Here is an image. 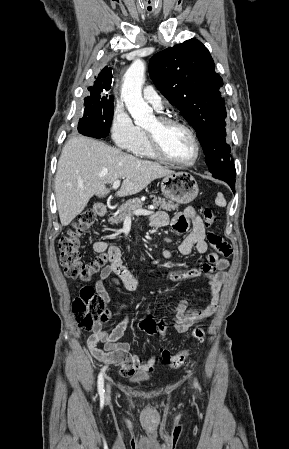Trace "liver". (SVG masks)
<instances>
[{
    "instance_id": "liver-1",
    "label": "liver",
    "mask_w": 289,
    "mask_h": 449,
    "mask_svg": "<svg viewBox=\"0 0 289 449\" xmlns=\"http://www.w3.org/2000/svg\"><path fill=\"white\" fill-rule=\"evenodd\" d=\"M173 173L158 163L142 160L101 141L77 136L63 147L55 176V194L62 226L87 206L93 195L105 196L107 184L124 181L119 197L137 194L153 180Z\"/></svg>"
}]
</instances>
